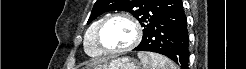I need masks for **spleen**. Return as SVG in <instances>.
I'll use <instances>...</instances> for the list:
<instances>
[{
  "label": "spleen",
  "instance_id": "1",
  "mask_svg": "<svg viewBox=\"0 0 246 69\" xmlns=\"http://www.w3.org/2000/svg\"><path fill=\"white\" fill-rule=\"evenodd\" d=\"M138 58L143 69H178V66L173 61L158 53L139 52Z\"/></svg>",
  "mask_w": 246,
  "mask_h": 69
}]
</instances>
